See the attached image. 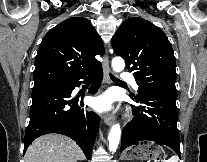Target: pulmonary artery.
Listing matches in <instances>:
<instances>
[{
	"instance_id": "obj_1",
	"label": "pulmonary artery",
	"mask_w": 207,
	"mask_h": 162,
	"mask_svg": "<svg viewBox=\"0 0 207 162\" xmlns=\"http://www.w3.org/2000/svg\"><path fill=\"white\" fill-rule=\"evenodd\" d=\"M123 79L125 82L131 84L134 89H138V85L131 74H124Z\"/></svg>"
}]
</instances>
